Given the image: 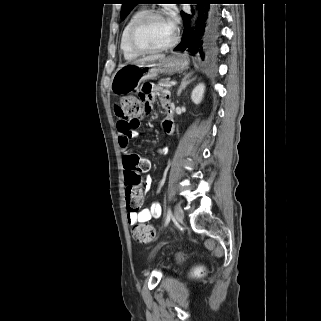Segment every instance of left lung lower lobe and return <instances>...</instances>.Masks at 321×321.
I'll list each match as a JSON object with an SVG mask.
<instances>
[{"mask_svg": "<svg viewBox=\"0 0 321 321\" xmlns=\"http://www.w3.org/2000/svg\"><path fill=\"white\" fill-rule=\"evenodd\" d=\"M198 4V17L194 28L188 26L190 16L181 12L184 21L182 41L175 48L177 51L200 53L202 59L212 46L219 34L220 13L215 4L218 0H191Z\"/></svg>", "mask_w": 321, "mask_h": 321, "instance_id": "left-lung-lower-lobe-1", "label": "left lung lower lobe"}]
</instances>
